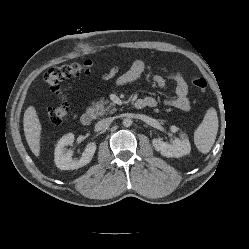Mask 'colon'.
I'll return each instance as SVG.
<instances>
[{"mask_svg":"<svg viewBox=\"0 0 249 249\" xmlns=\"http://www.w3.org/2000/svg\"><path fill=\"white\" fill-rule=\"evenodd\" d=\"M94 65L90 61L82 63L63 64L51 68L44 77L48 89L62 99V103L57 106H49L46 108V117L53 123L58 124L67 120L69 117V104L65 100L64 93L61 90L60 83L67 78L78 76L81 74H91ZM193 85L204 92L207 89V82L202 77H193Z\"/></svg>","mask_w":249,"mask_h":249,"instance_id":"1","label":"colon"}]
</instances>
